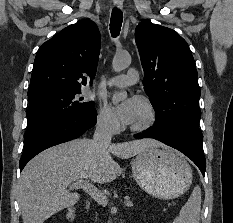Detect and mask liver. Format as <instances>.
I'll return each mask as SVG.
<instances>
[{
  "instance_id": "6515ba94",
  "label": "liver",
  "mask_w": 233,
  "mask_h": 223,
  "mask_svg": "<svg viewBox=\"0 0 233 223\" xmlns=\"http://www.w3.org/2000/svg\"><path fill=\"white\" fill-rule=\"evenodd\" d=\"M151 145L162 143L156 139H133L95 149L92 139L83 137L44 149L21 171L17 195L23 223H44L54 213L72 207L81 197L77 191H69L72 181H114L123 169L112 155L129 159Z\"/></svg>"
}]
</instances>
